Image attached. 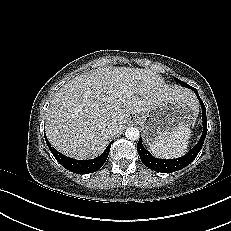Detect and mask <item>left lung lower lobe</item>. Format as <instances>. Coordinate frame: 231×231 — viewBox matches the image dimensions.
Listing matches in <instances>:
<instances>
[{
    "mask_svg": "<svg viewBox=\"0 0 231 231\" xmlns=\"http://www.w3.org/2000/svg\"><path fill=\"white\" fill-rule=\"evenodd\" d=\"M184 87H187L191 90H193L195 92V94L197 95L201 107H202V112H203V116H202V121H203V133L201 135V138L199 140V142L184 156L180 157V158H176V159H167V160H163V159H158L153 157L142 145V139L140 138L137 144V150H138V154L140 156L141 161L143 162V164L154 170L157 172H161V173H172L175 171H178L184 167H186L187 165H189L198 155V153L200 152L204 140L206 138V134H207V118H206V108L202 102V100L199 97L198 91L194 88L191 87L188 84H184Z\"/></svg>",
    "mask_w": 231,
    "mask_h": 231,
    "instance_id": "0a47b994",
    "label": "left lung lower lobe"
}]
</instances>
